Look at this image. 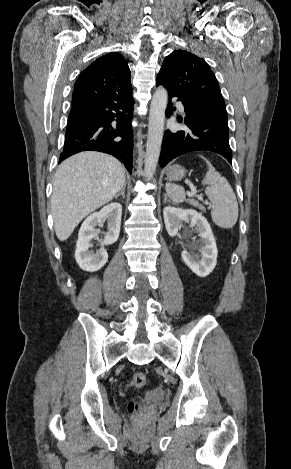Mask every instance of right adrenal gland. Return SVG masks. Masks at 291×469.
I'll return each instance as SVG.
<instances>
[{"instance_id": "2a0ac1e0", "label": "right adrenal gland", "mask_w": 291, "mask_h": 469, "mask_svg": "<svg viewBox=\"0 0 291 469\" xmlns=\"http://www.w3.org/2000/svg\"><path fill=\"white\" fill-rule=\"evenodd\" d=\"M125 188H126V184L123 186V188L120 190V192L115 196V198L117 199L120 195L125 198Z\"/></svg>"}]
</instances>
